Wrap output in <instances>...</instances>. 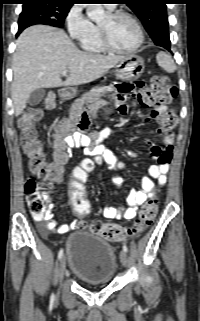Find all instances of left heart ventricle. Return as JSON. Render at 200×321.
<instances>
[{
    "instance_id": "1",
    "label": "left heart ventricle",
    "mask_w": 200,
    "mask_h": 321,
    "mask_svg": "<svg viewBox=\"0 0 200 321\" xmlns=\"http://www.w3.org/2000/svg\"><path fill=\"white\" fill-rule=\"evenodd\" d=\"M110 35L112 43L120 49L133 47L138 41V32L135 24L126 17L111 19L108 15L100 22Z\"/></svg>"
}]
</instances>
